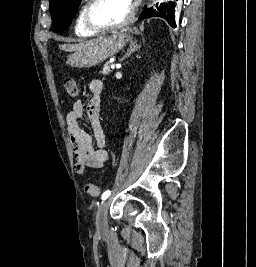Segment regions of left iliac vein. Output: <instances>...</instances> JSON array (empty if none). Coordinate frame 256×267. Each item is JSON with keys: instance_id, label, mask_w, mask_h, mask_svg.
<instances>
[{"instance_id": "1", "label": "left iliac vein", "mask_w": 256, "mask_h": 267, "mask_svg": "<svg viewBox=\"0 0 256 267\" xmlns=\"http://www.w3.org/2000/svg\"><path fill=\"white\" fill-rule=\"evenodd\" d=\"M110 205L109 200H105L102 202L101 206L99 207L96 215V226L99 230H104L107 228V213L108 208Z\"/></svg>"}]
</instances>
